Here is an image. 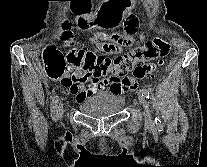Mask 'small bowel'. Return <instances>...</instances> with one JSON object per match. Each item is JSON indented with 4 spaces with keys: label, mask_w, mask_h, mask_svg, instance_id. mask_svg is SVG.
Instances as JSON below:
<instances>
[{
    "label": "small bowel",
    "mask_w": 207,
    "mask_h": 167,
    "mask_svg": "<svg viewBox=\"0 0 207 167\" xmlns=\"http://www.w3.org/2000/svg\"><path fill=\"white\" fill-rule=\"evenodd\" d=\"M131 3L132 0H106L101 10H98L100 15L96 20H77V24H82L83 27L96 25L100 28L123 24L122 19L126 17V11L131 9ZM92 5L93 1H71L70 9H72L73 17L86 19V15L80 14H91ZM140 25L141 22L138 21L137 17L133 16L132 13H127L124 34L98 33L93 39V44L102 53L119 54L136 41L145 40L144 34L136 37L137 28ZM111 73L112 75L109 78L98 80L83 73L81 69L71 70L64 67L60 81L71 94L75 95L78 103H82L97 93L108 91L112 95H120L137 88V82L131 78H121L120 76L123 73H120L116 67H113ZM85 83H88L86 87L84 86Z\"/></svg>",
    "instance_id": "1"
}]
</instances>
